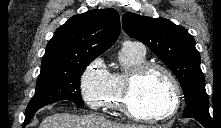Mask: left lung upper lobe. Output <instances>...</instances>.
I'll list each match as a JSON object with an SVG mask.
<instances>
[{
    "label": "left lung upper lobe",
    "instance_id": "left-lung-upper-lobe-1",
    "mask_svg": "<svg viewBox=\"0 0 221 128\" xmlns=\"http://www.w3.org/2000/svg\"><path fill=\"white\" fill-rule=\"evenodd\" d=\"M122 24L130 37L146 44L178 78L187 105L183 117L211 119L200 55L187 30L165 18L131 12L123 15Z\"/></svg>",
    "mask_w": 221,
    "mask_h": 128
}]
</instances>
